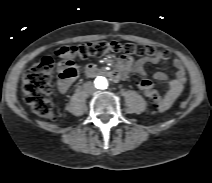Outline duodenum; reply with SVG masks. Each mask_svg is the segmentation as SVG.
<instances>
[{
    "label": "duodenum",
    "mask_w": 212,
    "mask_h": 183,
    "mask_svg": "<svg viewBox=\"0 0 212 183\" xmlns=\"http://www.w3.org/2000/svg\"><path fill=\"white\" fill-rule=\"evenodd\" d=\"M85 75L88 77H96L99 75H103L108 77L113 81H119L121 79V74L119 71L107 70L97 66H89L85 69Z\"/></svg>",
    "instance_id": "duodenum-1"
}]
</instances>
